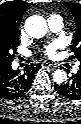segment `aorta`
<instances>
[{
  "mask_svg": "<svg viewBox=\"0 0 81 124\" xmlns=\"http://www.w3.org/2000/svg\"><path fill=\"white\" fill-rule=\"evenodd\" d=\"M26 33L34 38H41L47 33V24L44 18L38 15L30 16L24 25ZM53 80L56 83H63L67 80V74L64 70H56L53 73Z\"/></svg>",
  "mask_w": 81,
  "mask_h": 124,
  "instance_id": "aorta-1",
  "label": "aorta"
}]
</instances>
